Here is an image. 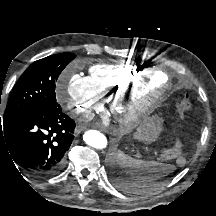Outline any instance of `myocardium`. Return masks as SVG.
<instances>
[{"label":"myocardium","mask_w":216,"mask_h":216,"mask_svg":"<svg viewBox=\"0 0 216 216\" xmlns=\"http://www.w3.org/2000/svg\"><path fill=\"white\" fill-rule=\"evenodd\" d=\"M157 74H163L166 81L158 90H152L151 85ZM170 87L171 80L166 72L149 70L112 98L111 110L124 128L131 129L151 112Z\"/></svg>","instance_id":"1"}]
</instances>
